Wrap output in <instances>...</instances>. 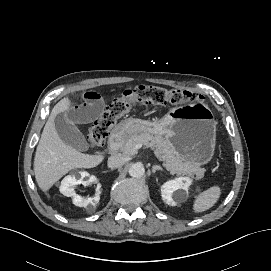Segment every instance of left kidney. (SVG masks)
Wrapping results in <instances>:
<instances>
[{
	"label": "left kidney",
	"mask_w": 271,
	"mask_h": 271,
	"mask_svg": "<svg viewBox=\"0 0 271 271\" xmlns=\"http://www.w3.org/2000/svg\"><path fill=\"white\" fill-rule=\"evenodd\" d=\"M190 183L191 181L188 178H176L166 182L161 188L164 202L175 206L177 203L184 201Z\"/></svg>",
	"instance_id": "obj_1"
}]
</instances>
